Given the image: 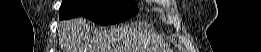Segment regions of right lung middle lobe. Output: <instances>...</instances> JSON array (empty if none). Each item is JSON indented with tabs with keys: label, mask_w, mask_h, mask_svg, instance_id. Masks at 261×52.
<instances>
[{
	"label": "right lung middle lobe",
	"mask_w": 261,
	"mask_h": 52,
	"mask_svg": "<svg viewBox=\"0 0 261 52\" xmlns=\"http://www.w3.org/2000/svg\"><path fill=\"white\" fill-rule=\"evenodd\" d=\"M136 11V3L125 0H63L59 16H85L97 24L108 25L126 20Z\"/></svg>",
	"instance_id": "dd1d6c3e"
}]
</instances>
